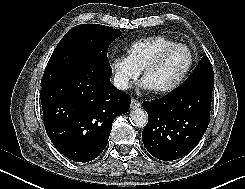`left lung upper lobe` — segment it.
I'll use <instances>...</instances> for the list:
<instances>
[{"label": "left lung upper lobe", "instance_id": "obj_1", "mask_svg": "<svg viewBox=\"0 0 245 189\" xmlns=\"http://www.w3.org/2000/svg\"><path fill=\"white\" fill-rule=\"evenodd\" d=\"M193 81L204 82L214 86L213 68L207 56H203L201 58L196 69L191 74V76L186 80L185 83L193 82Z\"/></svg>", "mask_w": 245, "mask_h": 189}]
</instances>
